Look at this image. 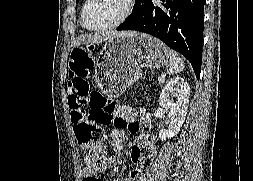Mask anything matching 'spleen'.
<instances>
[{"label":"spleen","instance_id":"spleen-1","mask_svg":"<svg viewBox=\"0 0 253 181\" xmlns=\"http://www.w3.org/2000/svg\"><path fill=\"white\" fill-rule=\"evenodd\" d=\"M167 58V72L169 74H176L184 69V61L175 51L168 49Z\"/></svg>","mask_w":253,"mask_h":181}]
</instances>
